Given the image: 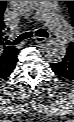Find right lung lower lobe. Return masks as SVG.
<instances>
[{
    "label": "right lung lower lobe",
    "instance_id": "right-lung-lower-lobe-1",
    "mask_svg": "<svg viewBox=\"0 0 74 122\" xmlns=\"http://www.w3.org/2000/svg\"><path fill=\"white\" fill-rule=\"evenodd\" d=\"M17 62V61H16ZM15 65H16V63L14 64V66L11 68V70L8 72V73H6L4 76H0V80H1V78H6V77H8L12 72H13V70H14V68H15Z\"/></svg>",
    "mask_w": 74,
    "mask_h": 122
}]
</instances>
